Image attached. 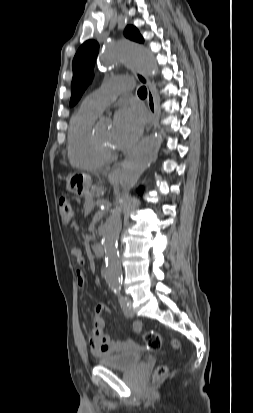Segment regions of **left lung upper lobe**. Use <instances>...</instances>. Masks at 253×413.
<instances>
[{
  "mask_svg": "<svg viewBox=\"0 0 253 413\" xmlns=\"http://www.w3.org/2000/svg\"><path fill=\"white\" fill-rule=\"evenodd\" d=\"M124 35L134 41L143 42L137 28L127 26ZM99 52V45L94 40L84 42L73 59V79L71 83L70 106L75 105L93 78V68Z\"/></svg>",
  "mask_w": 253,
  "mask_h": 413,
  "instance_id": "1",
  "label": "left lung upper lobe"
}]
</instances>
